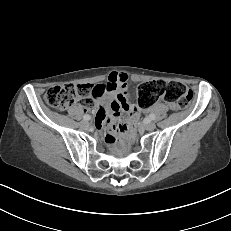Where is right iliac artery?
<instances>
[{
	"instance_id": "1",
	"label": "right iliac artery",
	"mask_w": 231,
	"mask_h": 231,
	"mask_svg": "<svg viewBox=\"0 0 231 231\" xmlns=\"http://www.w3.org/2000/svg\"><path fill=\"white\" fill-rule=\"evenodd\" d=\"M83 119H84L85 121H88V120L91 119V116H90V115H84V116H83Z\"/></svg>"
}]
</instances>
